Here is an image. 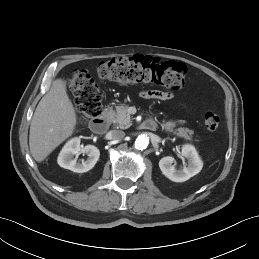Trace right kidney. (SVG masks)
<instances>
[{
  "mask_svg": "<svg viewBox=\"0 0 259 259\" xmlns=\"http://www.w3.org/2000/svg\"><path fill=\"white\" fill-rule=\"evenodd\" d=\"M80 153L86 154L88 158L82 160L81 163L77 162L74 158L75 155ZM100 156L99 149L94 145H86L85 147L80 146V139L73 138L69 140L58 156L59 166L69 169L76 173H84L94 167Z\"/></svg>",
  "mask_w": 259,
  "mask_h": 259,
  "instance_id": "1",
  "label": "right kidney"
}]
</instances>
